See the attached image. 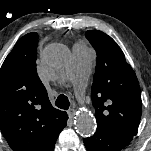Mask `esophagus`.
Instances as JSON below:
<instances>
[{
	"instance_id": "esophagus-1",
	"label": "esophagus",
	"mask_w": 151,
	"mask_h": 151,
	"mask_svg": "<svg viewBox=\"0 0 151 151\" xmlns=\"http://www.w3.org/2000/svg\"><path fill=\"white\" fill-rule=\"evenodd\" d=\"M68 114H69V117L72 119L75 115V109L74 108H71L69 111H68Z\"/></svg>"
}]
</instances>
